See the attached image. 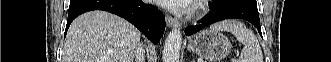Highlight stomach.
<instances>
[{"label":"stomach","instance_id":"0dacf381","mask_svg":"<svg viewBox=\"0 0 331 62\" xmlns=\"http://www.w3.org/2000/svg\"><path fill=\"white\" fill-rule=\"evenodd\" d=\"M188 48L209 62H220L228 56L232 46L222 33L204 30L189 41Z\"/></svg>","mask_w":331,"mask_h":62}]
</instances>
